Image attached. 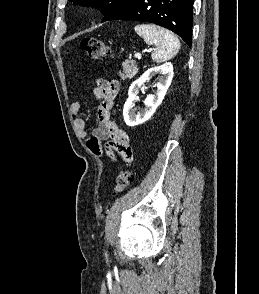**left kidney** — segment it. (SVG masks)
<instances>
[{"label":"left kidney","instance_id":"obj_1","mask_svg":"<svg viewBox=\"0 0 259 294\" xmlns=\"http://www.w3.org/2000/svg\"><path fill=\"white\" fill-rule=\"evenodd\" d=\"M173 74V65L168 62L148 69L140 76V78L130 85L128 99L123 108L124 121L128 126L133 127L142 124L151 118L157 107L163 101L173 79ZM153 75H160L159 82L156 83L157 90L154 95L147 96L144 102L145 108L135 113L134 102L139 89L143 87L146 80L150 79Z\"/></svg>","mask_w":259,"mask_h":294}]
</instances>
